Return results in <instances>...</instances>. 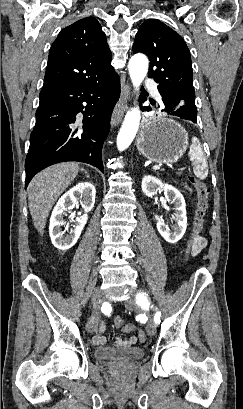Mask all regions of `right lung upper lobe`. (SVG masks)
Listing matches in <instances>:
<instances>
[{"label": "right lung upper lobe", "mask_w": 243, "mask_h": 409, "mask_svg": "<svg viewBox=\"0 0 243 409\" xmlns=\"http://www.w3.org/2000/svg\"><path fill=\"white\" fill-rule=\"evenodd\" d=\"M105 33L93 17L64 28L53 42L42 90L102 79L114 70Z\"/></svg>", "instance_id": "obj_1"}]
</instances>
